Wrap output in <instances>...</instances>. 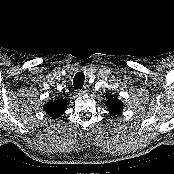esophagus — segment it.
Listing matches in <instances>:
<instances>
[{
    "instance_id": "1",
    "label": "esophagus",
    "mask_w": 174,
    "mask_h": 174,
    "mask_svg": "<svg viewBox=\"0 0 174 174\" xmlns=\"http://www.w3.org/2000/svg\"><path fill=\"white\" fill-rule=\"evenodd\" d=\"M88 92V86H85L82 90L79 91V94H87Z\"/></svg>"
}]
</instances>
